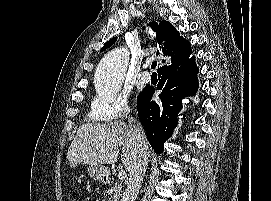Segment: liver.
I'll return each instance as SVG.
<instances>
[{
	"instance_id": "liver-1",
	"label": "liver",
	"mask_w": 271,
	"mask_h": 201,
	"mask_svg": "<svg viewBox=\"0 0 271 201\" xmlns=\"http://www.w3.org/2000/svg\"><path fill=\"white\" fill-rule=\"evenodd\" d=\"M122 147L121 160L131 171L136 156L129 125L123 122L86 123L79 127L68 152L70 167L79 164H114Z\"/></svg>"
}]
</instances>
